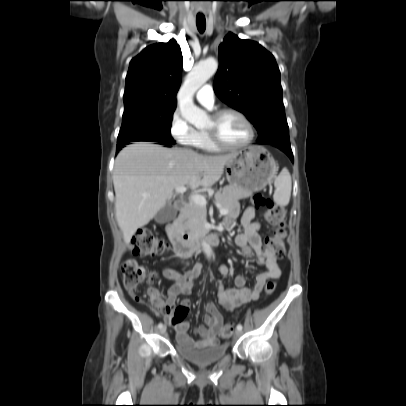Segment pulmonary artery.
<instances>
[{
	"mask_svg": "<svg viewBox=\"0 0 406 406\" xmlns=\"http://www.w3.org/2000/svg\"><path fill=\"white\" fill-rule=\"evenodd\" d=\"M196 98L202 105L208 108H212L215 100L212 86L210 84H205L204 86H202L198 90Z\"/></svg>",
	"mask_w": 406,
	"mask_h": 406,
	"instance_id": "pulmonary-artery-1",
	"label": "pulmonary artery"
}]
</instances>
